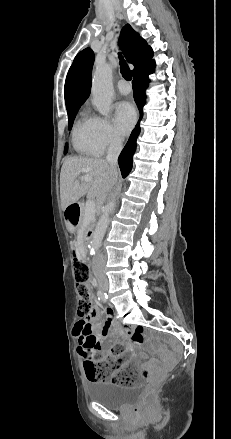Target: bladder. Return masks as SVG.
Segmentation results:
<instances>
[{
    "instance_id": "31cf9c89",
    "label": "bladder",
    "mask_w": 231,
    "mask_h": 439,
    "mask_svg": "<svg viewBox=\"0 0 231 439\" xmlns=\"http://www.w3.org/2000/svg\"><path fill=\"white\" fill-rule=\"evenodd\" d=\"M141 392L137 385L121 386L106 381H95L88 385V397L110 409L122 408L136 400Z\"/></svg>"
}]
</instances>
